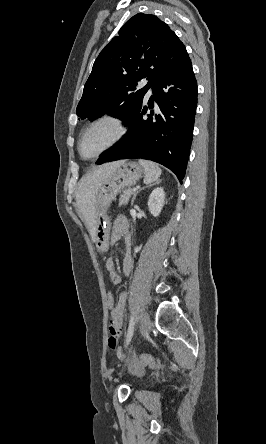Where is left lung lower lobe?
I'll use <instances>...</instances> for the list:
<instances>
[{"mask_svg": "<svg viewBox=\"0 0 266 444\" xmlns=\"http://www.w3.org/2000/svg\"><path fill=\"white\" fill-rule=\"evenodd\" d=\"M149 109L159 113L144 117L140 107L127 122L129 132L114 147L101 154L97 164L125 158H141L160 163L174 172L179 181L185 175L197 105V83L188 53L153 86Z\"/></svg>", "mask_w": 266, "mask_h": 444, "instance_id": "0a47b994", "label": "left lung lower lobe"}]
</instances>
